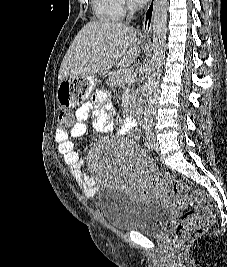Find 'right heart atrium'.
<instances>
[{
    "mask_svg": "<svg viewBox=\"0 0 227 267\" xmlns=\"http://www.w3.org/2000/svg\"><path fill=\"white\" fill-rule=\"evenodd\" d=\"M124 4H126L127 6H130V3L128 0H123Z\"/></svg>",
    "mask_w": 227,
    "mask_h": 267,
    "instance_id": "d8ad5b80",
    "label": "right heart atrium"
}]
</instances>
